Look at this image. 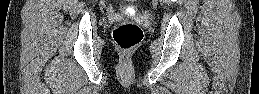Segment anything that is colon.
<instances>
[{
    "label": "colon",
    "instance_id": "1",
    "mask_svg": "<svg viewBox=\"0 0 259 94\" xmlns=\"http://www.w3.org/2000/svg\"><path fill=\"white\" fill-rule=\"evenodd\" d=\"M112 36L120 50L129 52L141 42L143 32L142 29L133 22H122L114 28Z\"/></svg>",
    "mask_w": 259,
    "mask_h": 94
}]
</instances>
